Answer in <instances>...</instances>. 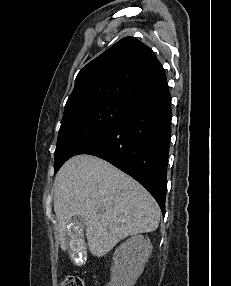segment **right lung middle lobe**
Instances as JSON below:
<instances>
[{"label":"right lung middle lobe","mask_w":231,"mask_h":286,"mask_svg":"<svg viewBox=\"0 0 231 286\" xmlns=\"http://www.w3.org/2000/svg\"><path fill=\"white\" fill-rule=\"evenodd\" d=\"M128 113L123 102L102 101L63 116L54 155L55 172Z\"/></svg>","instance_id":"1"}]
</instances>
